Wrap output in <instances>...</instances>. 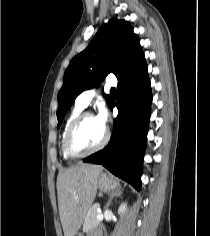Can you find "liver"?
<instances>
[{"mask_svg": "<svg viewBox=\"0 0 210 236\" xmlns=\"http://www.w3.org/2000/svg\"><path fill=\"white\" fill-rule=\"evenodd\" d=\"M102 170L100 165L78 163L59 172L57 196L64 236H75L80 229L95 199Z\"/></svg>", "mask_w": 210, "mask_h": 236, "instance_id": "6515ba94", "label": "liver"}]
</instances>
